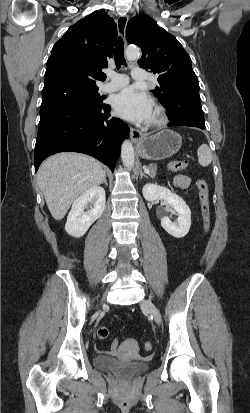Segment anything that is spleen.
<instances>
[{
	"label": "spleen",
	"instance_id": "spleen-1",
	"mask_svg": "<svg viewBox=\"0 0 250 413\" xmlns=\"http://www.w3.org/2000/svg\"><path fill=\"white\" fill-rule=\"evenodd\" d=\"M198 162L201 166L206 167L212 162V153L207 144H202L197 150Z\"/></svg>",
	"mask_w": 250,
	"mask_h": 413
}]
</instances>
